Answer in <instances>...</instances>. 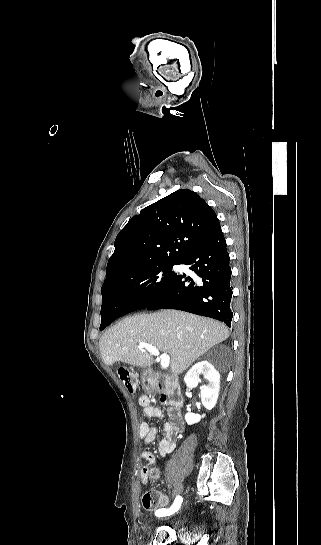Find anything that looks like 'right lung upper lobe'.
Listing matches in <instances>:
<instances>
[{
	"label": "right lung upper lobe",
	"instance_id": "obj_1",
	"mask_svg": "<svg viewBox=\"0 0 321 545\" xmlns=\"http://www.w3.org/2000/svg\"><path fill=\"white\" fill-rule=\"evenodd\" d=\"M218 228L216 213L198 194L173 192L144 208L118 233L101 289L157 265L181 264Z\"/></svg>",
	"mask_w": 321,
	"mask_h": 545
}]
</instances>
